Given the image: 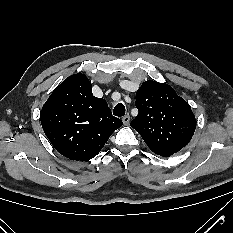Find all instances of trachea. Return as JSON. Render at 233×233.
Here are the masks:
<instances>
[{"label":"trachea","mask_w":233,"mask_h":233,"mask_svg":"<svg viewBox=\"0 0 233 233\" xmlns=\"http://www.w3.org/2000/svg\"><path fill=\"white\" fill-rule=\"evenodd\" d=\"M113 114L118 117H122L125 115V106L122 103H118L113 110Z\"/></svg>","instance_id":"1"}]
</instances>
